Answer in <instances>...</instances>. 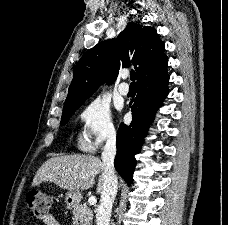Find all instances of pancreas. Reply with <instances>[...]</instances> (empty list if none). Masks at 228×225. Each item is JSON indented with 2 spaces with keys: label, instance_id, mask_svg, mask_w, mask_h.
<instances>
[{
  "label": "pancreas",
  "instance_id": "obj_1",
  "mask_svg": "<svg viewBox=\"0 0 228 225\" xmlns=\"http://www.w3.org/2000/svg\"><path fill=\"white\" fill-rule=\"evenodd\" d=\"M73 225H91L93 221V211L86 205H78L73 209Z\"/></svg>",
  "mask_w": 228,
  "mask_h": 225
}]
</instances>
